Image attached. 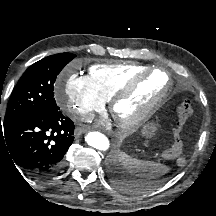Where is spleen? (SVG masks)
<instances>
[{"label":"spleen","mask_w":216,"mask_h":216,"mask_svg":"<svg viewBox=\"0 0 216 216\" xmlns=\"http://www.w3.org/2000/svg\"><path fill=\"white\" fill-rule=\"evenodd\" d=\"M119 158L128 173L140 179L155 178L168 172V168L160 163L132 158L123 152Z\"/></svg>","instance_id":"1"}]
</instances>
